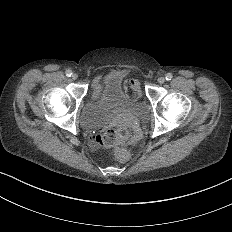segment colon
<instances>
[{"label":"colon","instance_id":"colon-1","mask_svg":"<svg viewBox=\"0 0 232 232\" xmlns=\"http://www.w3.org/2000/svg\"><path fill=\"white\" fill-rule=\"evenodd\" d=\"M123 94L127 98H133L138 94V83L134 79H125ZM137 139V129L128 120H121L112 125L109 130L100 131L95 137V144L104 152L113 151L116 146H125Z\"/></svg>","mask_w":232,"mask_h":232}]
</instances>
